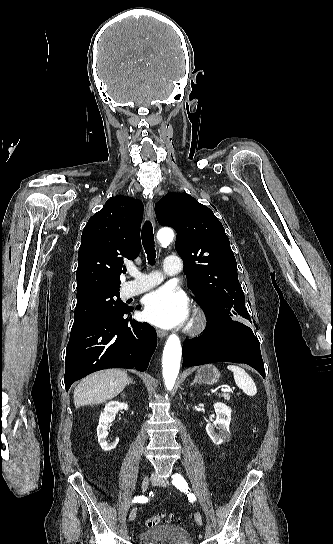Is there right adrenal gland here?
Here are the masks:
<instances>
[{"label": "right adrenal gland", "instance_id": "right-adrenal-gland-1", "mask_svg": "<svg viewBox=\"0 0 333 544\" xmlns=\"http://www.w3.org/2000/svg\"><path fill=\"white\" fill-rule=\"evenodd\" d=\"M128 384H135V382H133V380L131 378H129Z\"/></svg>", "mask_w": 333, "mask_h": 544}]
</instances>
